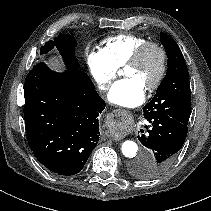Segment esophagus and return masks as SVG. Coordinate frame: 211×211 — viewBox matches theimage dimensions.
I'll return each mask as SVG.
<instances>
[{
	"label": "esophagus",
	"mask_w": 211,
	"mask_h": 211,
	"mask_svg": "<svg viewBox=\"0 0 211 211\" xmlns=\"http://www.w3.org/2000/svg\"><path fill=\"white\" fill-rule=\"evenodd\" d=\"M115 113V115H121L122 113H124L123 110H114L113 111ZM115 140H119L121 139V137H114Z\"/></svg>",
	"instance_id": "1"
}]
</instances>
